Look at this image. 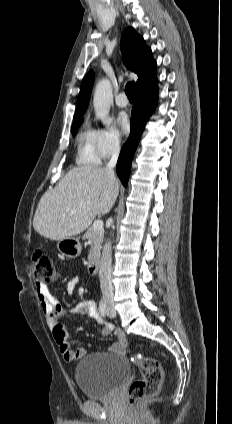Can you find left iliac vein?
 Returning <instances> with one entry per match:
<instances>
[{
  "label": "left iliac vein",
  "mask_w": 232,
  "mask_h": 424,
  "mask_svg": "<svg viewBox=\"0 0 232 424\" xmlns=\"http://www.w3.org/2000/svg\"><path fill=\"white\" fill-rule=\"evenodd\" d=\"M107 315L110 318H114L116 316V312H115L114 308L112 307V305H109V307L107 309Z\"/></svg>",
  "instance_id": "left-iliac-vein-1"
}]
</instances>
